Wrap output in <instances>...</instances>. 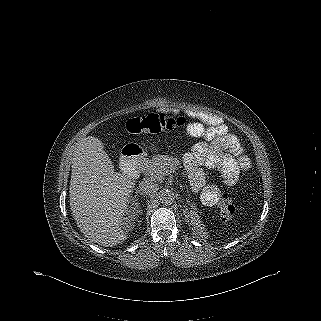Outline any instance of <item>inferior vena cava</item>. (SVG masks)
I'll list each match as a JSON object with an SVG mask.
<instances>
[{
  "mask_svg": "<svg viewBox=\"0 0 321 321\" xmlns=\"http://www.w3.org/2000/svg\"><path fill=\"white\" fill-rule=\"evenodd\" d=\"M141 194H145L148 196H153L158 191V185L152 182L149 178L144 179L139 184Z\"/></svg>",
  "mask_w": 321,
  "mask_h": 321,
  "instance_id": "602c4592",
  "label": "inferior vena cava"
}]
</instances>
